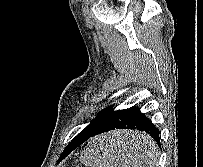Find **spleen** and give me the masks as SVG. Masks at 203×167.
I'll use <instances>...</instances> for the list:
<instances>
[{
  "label": "spleen",
  "mask_w": 203,
  "mask_h": 167,
  "mask_svg": "<svg viewBox=\"0 0 203 167\" xmlns=\"http://www.w3.org/2000/svg\"><path fill=\"white\" fill-rule=\"evenodd\" d=\"M134 140L136 144L145 146L147 149L137 154L140 161L144 163L139 167H156L157 145L155 141L146 134H138ZM114 142L115 137L108 138V135L91 140L81 156V161L90 167H131L129 162L121 160L117 150L112 148L111 145ZM132 167L136 166L132 165Z\"/></svg>",
  "instance_id": "obj_1"
}]
</instances>
